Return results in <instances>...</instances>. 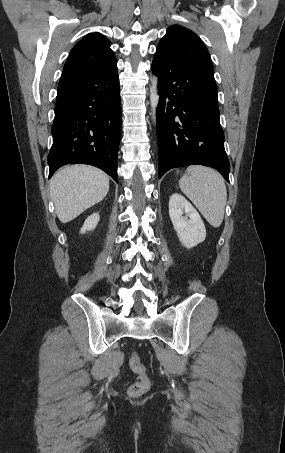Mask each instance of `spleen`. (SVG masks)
Masks as SVG:
<instances>
[{"instance_id":"1","label":"spleen","mask_w":285,"mask_h":453,"mask_svg":"<svg viewBox=\"0 0 285 453\" xmlns=\"http://www.w3.org/2000/svg\"><path fill=\"white\" fill-rule=\"evenodd\" d=\"M179 186L211 226L217 228L222 224L227 189L219 172L204 166H190Z\"/></svg>"}]
</instances>
